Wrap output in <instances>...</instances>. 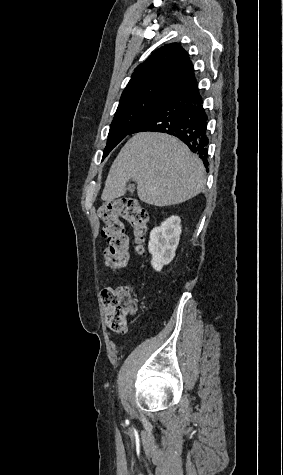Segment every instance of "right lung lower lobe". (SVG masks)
<instances>
[{
    "instance_id": "1",
    "label": "right lung lower lobe",
    "mask_w": 283,
    "mask_h": 475,
    "mask_svg": "<svg viewBox=\"0 0 283 475\" xmlns=\"http://www.w3.org/2000/svg\"><path fill=\"white\" fill-rule=\"evenodd\" d=\"M196 79L176 88L129 133L163 132L178 137L208 166L207 114Z\"/></svg>"
}]
</instances>
